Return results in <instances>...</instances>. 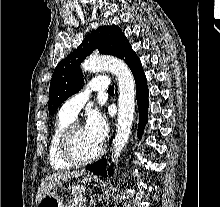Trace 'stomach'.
<instances>
[{
  "label": "stomach",
  "instance_id": "stomach-1",
  "mask_svg": "<svg viewBox=\"0 0 220 207\" xmlns=\"http://www.w3.org/2000/svg\"><path fill=\"white\" fill-rule=\"evenodd\" d=\"M91 182V177H82V183L84 185H90ZM37 207H64V204L61 198L55 192H50L48 195L41 199V201L37 204Z\"/></svg>",
  "mask_w": 220,
  "mask_h": 207
}]
</instances>
